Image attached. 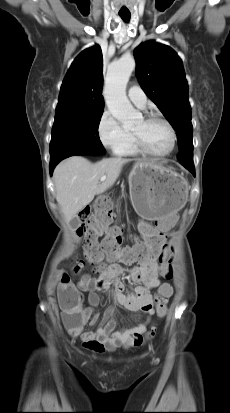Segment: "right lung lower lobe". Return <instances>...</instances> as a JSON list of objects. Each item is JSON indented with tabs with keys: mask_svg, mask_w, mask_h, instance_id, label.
<instances>
[{
	"mask_svg": "<svg viewBox=\"0 0 230 413\" xmlns=\"http://www.w3.org/2000/svg\"><path fill=\"white\" fill-rule=\"evenodd\" d=\"M81 156H94V155H100V154H89V153H83V154H79ZM61 160L58 161H54V162H50V174H52L55 166L60 162Z\"/></svg>",
	"mask_w": 230,
	"mask_h": 413,
	"instance_id": "1",
	"label": "right lung lower lobe"
}]
</instances>
